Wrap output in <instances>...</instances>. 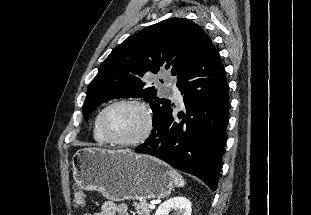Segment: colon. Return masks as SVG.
<instances>
[{"label":"colon","mask_w":311,"mask_h":215,"mask_svg":"<svg viewBox=\"0 0 311 215\" xmlns=\"http://www.w3.org/2000/svg\"><path fill=\"white\" fill-rule=\"evenodd\" d=\"M86 202V195L81 189H76L74 192L73 203L76 207L84 206Z\"/></svg>","instance_id":"5ec220e1"}]
</instances>
